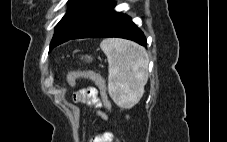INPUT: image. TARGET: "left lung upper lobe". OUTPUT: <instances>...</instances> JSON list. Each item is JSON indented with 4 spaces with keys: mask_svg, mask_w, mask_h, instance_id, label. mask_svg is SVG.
<instances>
[{
    "mask_svg": "<svg viewBox=\"0 0 227 142\" xmlns=\"http://www.w3.org/2000/svg\"><path fill=\"white\" fill-rule=\"evenodd\" d=\"M69 8L57 24L50 50L69 40L98 15L111 0H69Z\"/></svg>",
    "mask_w": 227,
    "mask_h": 142,
    "instance_id": "5c2ea615",
    "label": "left lung upper lobe"
}]
</instances>
